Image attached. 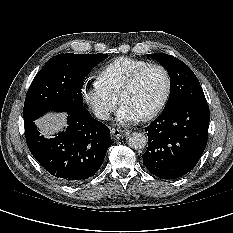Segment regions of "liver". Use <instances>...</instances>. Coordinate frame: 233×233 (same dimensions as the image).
I'll use <instances>...</instances> for the list:
<instances>
[{
	"mask_svg": "<svg viewBox=\"0 0 233 233\" xmlns=\"http://www.w3.org/2000/svg\"><path fill=\"white\" fill-rule=\"evenodd\" d=\"M64 122L63 115H48L36 121L44 135L52 134L59 130Z\"/></svg>",
	"mask_w": 233,
	"mask_h": 233,
	"instance_id": "1",
	"label": "liver"
}]
</instances>
